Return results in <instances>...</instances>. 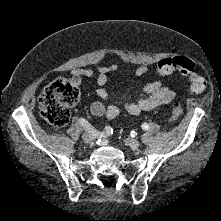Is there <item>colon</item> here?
Segmentation results:
<instances>
[{
    "label": "colon",
    "mask_w": 221,
    "mask_h": 221,
    "mask_svg": "<svg viewBox=\"0 0 221 221\" xmlns=\"http://www.w3.org/2000/svg\"><path fill=\"white\" fill-rule=\"evenodd\" d=\"M194 63L186 57L162 59L157 63L159 75L166 76L178 72L188 77L190 92L198 94L204 91L206 80L194 72ZM80 99L79 88L67 79H57L45 87L39 97L41 116L53 127L62 128L70 119V109ZM182 113V107L174 104L171 110V121L177 120Z\"/></svg>",
    "instance_id": "colon-1"
}]
</instances>
